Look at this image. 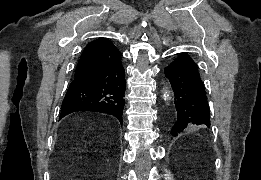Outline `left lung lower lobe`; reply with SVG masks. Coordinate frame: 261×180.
Listing matches in <instances>:
<instances>
[{"label": "left lung lower lobe", "mask_w": 261, "mask_h": 180, "mask_svg": "<svg viewBox=\"0 0 261 180\" xmlns=\"http://www.w3.org/2000/svg\"><path fill=\"white\" fill-rule=\"evenodd\" d=\"M165 75L173 88L176 109L172 136L196 126L210 128L209 105L196 63L180 53L165 68Z\"/></svg>", "instance_id": "0a47b994"}]
</instances>
